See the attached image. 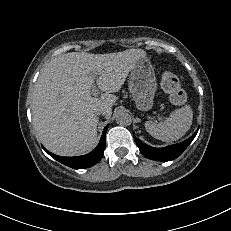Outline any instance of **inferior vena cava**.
<instances>
[{
    "mask_svg": "<svg viewBox=\"0 0 231 231\" xmlns=\"http://www.w3.org/2000/svg\"><path fill=\"white\" fill-rule=\"evenodd\" d=\"M104 113V110L103 109H99L95 112V115L98 116L100 114H103Z\"/></svg>",
    "mask_w": 231,
    "mask_h": 231,
    "instance_id": "602c4592",
    "label": "inferior vena cava"
}]
</instances>
